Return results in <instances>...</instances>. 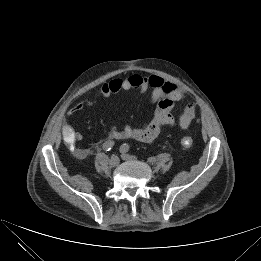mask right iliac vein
Instances as JSON below:
<instances>
[{
    "instance_id": "obj_1",
    "label": "right iliac vein",
    "mask_w": 261,
    "mask_h": 261,
    "mask_svg": "<svg viewBox=\"0 0 261 261\" xmlns=\"http://www.w3.org/2000/svg\"><path fill=\"white\" fill-rule=\"evenodd\" d=\"M119 157L117 155H112L109 159V165L111 167H116L119 164Z\"/></svg>"
}]
</instances>
